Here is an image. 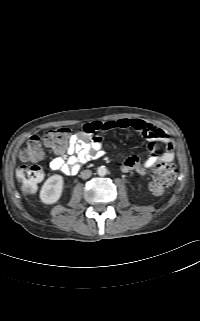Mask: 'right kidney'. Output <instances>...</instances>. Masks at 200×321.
<instances>
[{"mask_svg":"<svg viewBox=\"0 0 200 321\" xmlns=\"http://www.w3.org/2000/svg\"><path fill=\"white\" fill-rule=\"evenodd\" d=\"M63 191V177L55 174L49 177L43 184L40 191V199L45 204L56 203Z\"/></svg>","mask_w":200,"mask_h":321,"instance_id":"obj_1","label":"right kidney"}]
</instances>
